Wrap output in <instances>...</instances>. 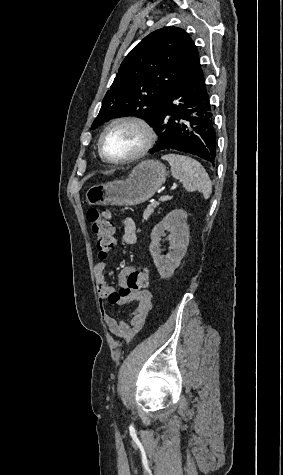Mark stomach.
<instances>
[{
	"label": "stomach",
	"instance_id": "1",
	"mask_svg": "<svg viewBox=\"0 0 283 475\" xmlns=\"http://www.w3.org/2000/svg\"><path fill=\"white\" fill-rule=\"evenodd\" d=\"M167 172L158 160H144L133 168L127 180L92 186L86 192L90 206H136L154 196L165 184Z\"/></svg>",
	"mask_w": 283,
	"mask_h": 475
}]
</instances>
